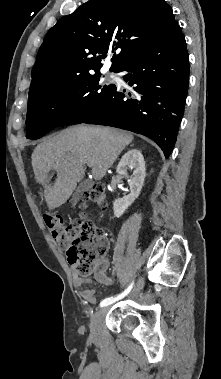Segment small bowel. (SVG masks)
<instances>
[{"label":"small bowel","mask_w":221,"mask_h":379,"mask_svg":"<svg viewBox=\"0 0 221 379\" xmlns=\"http://www.w3.org/2000/svg\"><path fill=\"white\" fill-rule=\"evenodd\" d=\"M109 268V260L106 256H104L98 263L94 277L95 280L101 284L111 285L113 283V279L107 275V270ZM73 282L76 287H82L86 283H90V280L79 276L78 274H74ZM80 296L83 300L88 302L89 304H96L97 296L92 288H84L80 292Z\"/></svg>","instance_id":"c3829d8e"}]
</instances>
